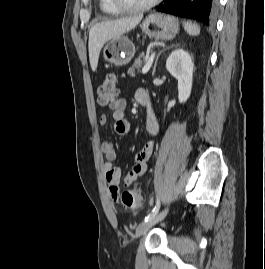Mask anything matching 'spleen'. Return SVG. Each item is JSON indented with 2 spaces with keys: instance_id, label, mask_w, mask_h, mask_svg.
I'll return each instance as SVG.
<instances>
[{
  "instance_id": "spleen-1",
  "label": "spleen",
  "mask_w": 265,
  "mask_h": 269,
  "mask_svg": "<svg viewBox=\"0 0 265 269\" xmlns=\"http://www.w3.org/2000/svg\"><path fill=\"white\" fill-rule=\"evenodd\" d=\"M182 25L184 30L192 36H197L200 34V27L197 23H192L190 21H183Z\"/></svg>"
}]
</instances>
